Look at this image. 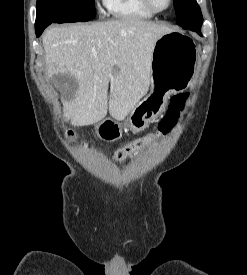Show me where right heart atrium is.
Masks as SVG:
<instances>
[{
    "mask_svg": "<svg viewBox=\"0 0 247 275\" xmlns=\"http://www.w3.org/2000/svg\"><path fill=\"white\" fill-rule=\"evenodd\" d=\"M100 2L103 6H106V0H100ZM99 9L101 10V7H99Z\"/></svg>",
    "mask_w": 247,
    "mask_h": 275,
    "instance_id": "d8ad5b80",
    "label": "right heart atrium"
}]
</instances>
